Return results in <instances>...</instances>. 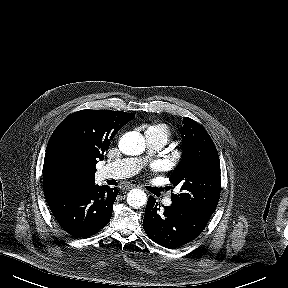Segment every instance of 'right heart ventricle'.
I'll return each instance as SVG.
<instances>
[{
    "instance_id": "right-heart-ventricle-1",
    "label": "right heart ventricle",
    "mask_w": 288,
    "mask_h": 288,
    "mask_svg": "<svg viewBox=\"0 0 288 288\" xmlns=\"http://www.w3.org/2000/svg\"><path fill=\"white\" fill-rule=\"evenodd\" d=\"M147 130L161 133L166 138V140H168L172 134L170 127L163 123L152 125Z\"/></svg>"
}]
</instances>
